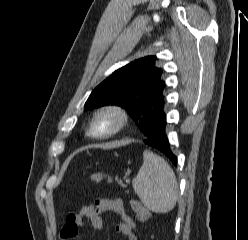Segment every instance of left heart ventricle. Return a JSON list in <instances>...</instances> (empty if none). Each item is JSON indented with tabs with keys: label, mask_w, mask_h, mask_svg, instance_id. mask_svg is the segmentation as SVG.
<instances>
[{
	"label": "left heart ventricle",
	"mask_w": 248,
	"mask_h": 240,
	"mask_svg": "<svg viewBox=\"0 0 248 240\" xmlns=\"http://www.w3.org/2000/svg\"><path fill=\"white\" fill-rule=\"evenodd\" d=\"M117 124V118L111 113H104L97 117L94 125V131L97 134L112 130Z\"/></svg>",
	"instance_id": "left-heart-ventricle-1"
}]
</instances>
